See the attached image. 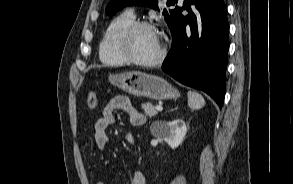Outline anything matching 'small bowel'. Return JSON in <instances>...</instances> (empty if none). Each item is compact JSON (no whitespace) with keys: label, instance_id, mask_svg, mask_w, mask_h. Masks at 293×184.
<instances>
[{"label":"small bowel","instance_id":"small-bowel-1","mask_svg":"<svg viewBox=\"0 0 293 184\" xmlns=\"http://www.w3.org/2000/svg\"><path fill=\"white\" fill-rule=\"evenodd\" d=\"M123 111L127 114L130 123L133 126H141L145 123L146 117L137 108L133 106L129 98L125 96H116L112 98L102 109L100 117L97 118L94 124L93 141L95 145L104 150L109 144V136L107 129L115 123V112ZM125 141L130 144H135V137L132 133L125 135ZM95 184H104L101 181H96ZM130 184H146V178L142 172L136 171L133 173Z\"/></svg>","mask_w":293,"mask_h":184}]
</instances>
